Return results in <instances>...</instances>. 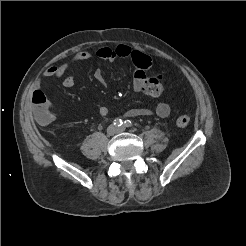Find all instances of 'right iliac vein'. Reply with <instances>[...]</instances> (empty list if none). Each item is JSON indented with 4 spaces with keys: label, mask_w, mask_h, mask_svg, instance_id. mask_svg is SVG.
I'll return each instance as SVG.
<instances>
[{
    "label": "right iliac vein",
    "mask_w": 246,
    "mask_h": 246,
    "mask_svg": "<svg viewBox=\"0 0 246 246\" xmlns=\"http://www.w3.org/2000/svg\"><path fill=\"white\" fill-rule=\"evenodd\" d=\"M117 131H118V129H117L115 126H113V125H111V126H109V127L107 128V133H108V135H110V136L116 134Z\"/></svg>",
    "instance_id": "right-iliac-vein-1"
}]
</instances>
